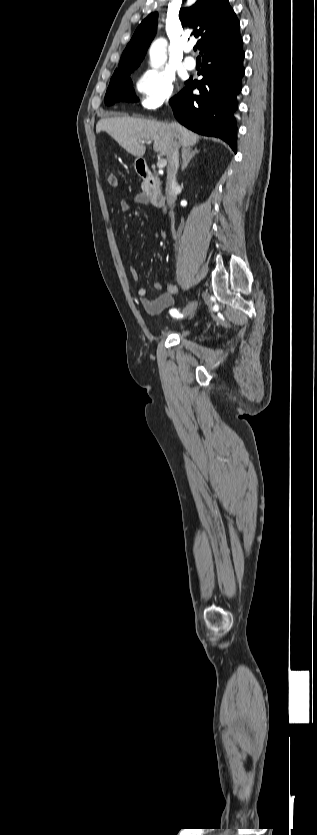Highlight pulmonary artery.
<instances>
[{
	"mask_svg": "<svg viewBox=\"0 0 317 835\" xmlns=\"http://www.w3.org/2000/svg\"><path fill=\"white\" fill-rule=\"evenodd\" d=\"M185 50L189 55H187L184 58V61H183L184 67L188 70H193L196 67V60L193 56L190 55V53L193 50V46L192 45H187Z\"/></svg>",
	"mask_w": 317,
	"mask_h": 835,
	"instance_id": "1",
	"label": "pulmonary artery"
}]
</instances>
